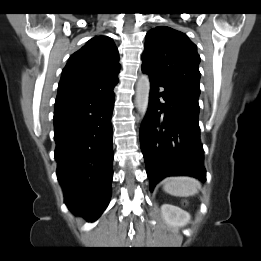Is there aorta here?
<instances>
[{
  "mask_svg": "<svg viewBox=\"0 0 261 261\" xmlns=\"http://www.w3.org/2000/svg\"><path fill=\"white\" fill-rule=\"evenodd\" d=\"M150 80L148 75H141L136 84V107L141 115H146L149 104Z\"/></svg>",
  "mask_w": 261,
  "mask_h": 261,
  "instance_id": "762f6f07",
  "label": "aorta"
}]
</instances>
